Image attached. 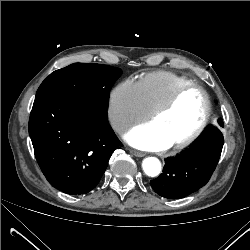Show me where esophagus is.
Returning a JSON list of instances; mask_svg holds the SVG:
<instances>
[{
	"label": "esophagus",
	"instance_id": "34e87169",
	"mask_svg": "<svg viewBox=\"0 0 250 250\" xmlns=\"http://www.w3.org/2000/svg\"><path fill=\"white\" fill-rule=\"evenodd\" d=\"M130 152L136 157H143L145 155L143 152L134 149H130Z\"/></svg>",
	"mask_w": 250,
	"mask_h": 250
}]
</instances>
